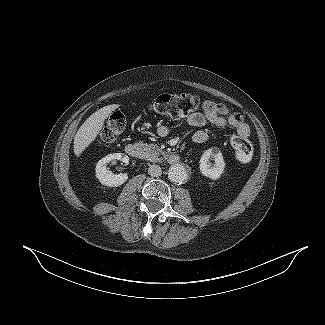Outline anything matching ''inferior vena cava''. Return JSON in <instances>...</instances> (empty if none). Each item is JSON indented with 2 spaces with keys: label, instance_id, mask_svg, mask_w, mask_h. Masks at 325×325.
<instances>
[{
  "label": "inferior vena cava",
  "instance_id": "obj_1",
  "mask_svg": "<svg viewBox=\"0 0 325 325\" xmlns=\"http://www.w3.org/2000/svg\"><path fill=\"white\" fill-rule=\"evenodd\" d=\"M148 174L153 177H158L162 174V169L159 165H150L148 168Z\"/></svg>",
  "mask_w": 325,
  "mask_h": 325
}]
</instances>
